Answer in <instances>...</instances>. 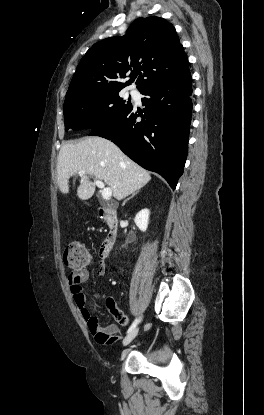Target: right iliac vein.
Returning a JSON list of instances; mask_svg holds the SVG:
<instances>
[{"label":"right iliac vein","instance_id":"right-iliac-vein-1","mask_svg":"<svg viewBox=\"0 0 264 415\" xmlns=\"http://www.w3.org/2000/svg\"><path fill=\"white\" fill-rule=\"evenodd\" d=\"M139 328H135L123 340V346H127L138 334Z\"/></svg>","mask_w":264,"mask_h":415}]
</instances>
